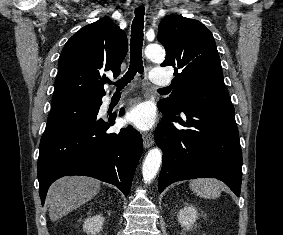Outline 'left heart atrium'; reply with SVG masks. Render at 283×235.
Instances as JSON below:
<instances>
[{"mask_svg": "<svg viewBox=\"0 0 283 235\" xmlns=\"http://www.w3.org/2000/svg\"><path fill=\"white\" fill-rule=\"evenodd\" d=\"M126 120L141 130H148L154 124V110L146 103L138 104L128 112Z\"/></svg>", "mask_w": 283, "mask_h": 235, "instance_id": "obj_1", "label": "left heart atrium"}]
</instances>
